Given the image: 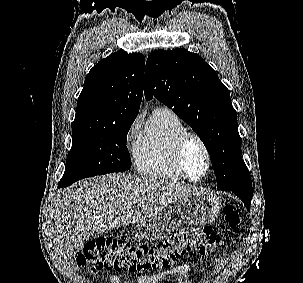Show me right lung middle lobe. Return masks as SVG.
<instances>
[{"label":"right lung middle lobe","mask_w":303,"mask_h":283,"mask_svg":"<svg viewBox=\"0 0 303 283\" xmlns=\"http://www.w3.org/2000/svg\"><path fill=\"white\" fill-rule=\"evenodd\" d=\"M134 120L118 124L73 122V143L61 181L66 185L91 176L130 169L127 133Z\"/></svg>","instance_id":"obj_1"}]
</instances>
